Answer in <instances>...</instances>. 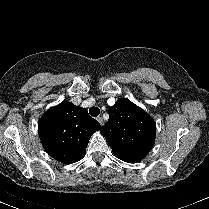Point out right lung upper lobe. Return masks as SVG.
I'll use <instances>...</instances> for the list:
<instances>
[{
    "mask_svg": "<svg viewBox=\"0 0 209 209\" xmlns=\"http://www.w3.org/2000/svg\"><path fill=\"white\" fill-rule=\"evenodd\" d=\"M100 128L86 109L69 102L47 110L38 124L44 149L52 158L64 164L82 159L91 135Z\"/></svg>",
    "mask_w": 209,
    "mask_h": 209,
    "instance_id": "cb5924a9",
    "label": "right lung upper lobe"
}]
</instances>
